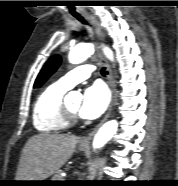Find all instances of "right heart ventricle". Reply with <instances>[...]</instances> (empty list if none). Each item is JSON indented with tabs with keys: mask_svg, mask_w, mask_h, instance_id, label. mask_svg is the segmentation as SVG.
<instances>
[{
	"mask_svg": "<svg viewBox=\"0 0 178 186\" xmlns=\"http://www.w3.org/2000/svg\"><path fill=\"white\" fill-rule=\"evenodd\" d=\"M67 90L59 83H54L38 96L32 115L36 130L43 133H58L66 128L60 118V110Z\"/></svg>",
	"mask_w": 178,
	"mask_h": 186,
	"instance_id": "1",
	"label": "right heart ventricle"
}]
</instances>
